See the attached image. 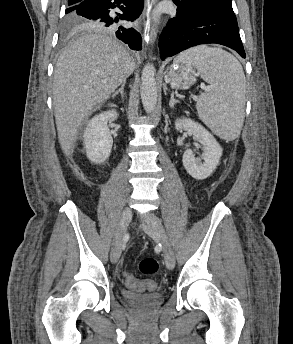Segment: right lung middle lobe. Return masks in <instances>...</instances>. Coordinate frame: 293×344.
Segmentation results:
<instances>
[{
	"label": "right lung middle lobe",
	"instance_id": "1",
	"mask_svg": "<svg viewBox=\"0 0 293 344\" xmlns=\"http://www.w3.org/2000/svg\"><path fill=\"white\" fill-rule=\"evenodd\" d=\"M76 5L66 9V18L64 21L63 35H72L82 29H92L94 24L84 19L75 12Z\"/></svg>",
	"mask_w": 293,
	"mask_h": 344
}]
</instances>
